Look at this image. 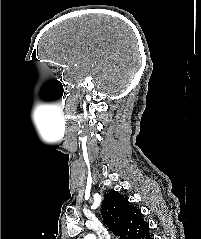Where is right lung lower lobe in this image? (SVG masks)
I'll return each instance as SVG.
<instances>
[{"mask_svg":"<svg viewBox=\"0 0 201 239\" xmlns=\"http://www.w3.org/2000/svg\"><path fill=\"white\" fill-rule=\"evenodd\" d=\"M146 239H152V238H151V236H150V235H148V236L146 237Z\"/></svg>","mask_w":201,"mask_h":239,"instance_id":"98d812e1","label":"right lung lower lobe"}]
</instances>
